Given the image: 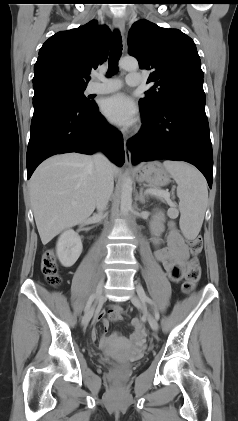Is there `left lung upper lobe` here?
<instances>
[{
	"label": "left lung upper lobe",
	"instance_id": "1",
	"mask_svg": "<svg viewBox=\"0 0 238 421\" xmlns=\"http://www.w3.org/2000/svg\"><path fill=\"white\" fill-rule=\"evenodd\" d=\"M130 55L141 69L152 70L154 85L139 100L140 110L155 113L169 99L203 91V71L194 41L177 29H166L145 19L134 23L128 38Z\"/></svg>",
	"mask_w": 238,
	"mask_h": 421
}]
</instances>
